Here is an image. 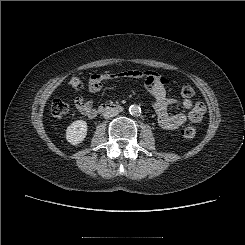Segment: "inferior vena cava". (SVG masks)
<instances>
[{"label": "inferior vena cava", "mask_w": 245, "mask_h": 245, "mask_svg": "<svg viewBox=\"0 0 245 245\" xmlns=\"http://www.w3.org/2000/svg\"><path fill=\"white\" fill-rule=\"evenodd\" d=\"M118 113H119V111L117 109L111 108V109L105 111L103 113V116H104V118L108 119V118H111V117L118 115Z\"/></svg>", "instance_id": "obj_1"}]
</instances>
